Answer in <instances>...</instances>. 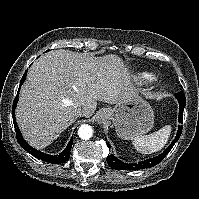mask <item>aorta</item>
I'll return each mask as SVG.
<instances>
[{"instance_id": "762f6f07", "label": "aorta", "mask_w": 199, "mask_h": 199, "mask_svg": "<svg viewBox=\"0 0 199 199\" xmlns=\"http://www.w3.org/2000/svg\"><path fill=\"white\" fill-rule=\"evenodd\" d=\"M78 134L81 139L87 140L92 137L93 129L89 125H81L78 129Z\"/></svg>"}]
</instances>
